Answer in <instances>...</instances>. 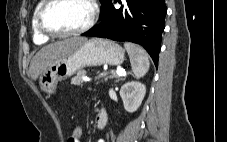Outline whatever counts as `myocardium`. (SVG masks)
Wrapping results in <instances>:
<instances>
[{"label": "myocardium", "instance_id": "f54148a6", "mask_svg": "<svg viewBox=\"0 0 227 142\" xmlns=\"http://www.w3.org/2000/svg\"><path fill=\"white\" fill-rule=\"evenodd\" d=\"M58 1L59 0H44V3L42 4V6L38 11L37 24L40 32L43 33L44 35H47L49 37H68V36L78 35L91 29L97 22V19L99 16L98 3L96 0H86L91 8V16L89 21L84 26L72 31H65V32L52 30L47 26L45 22V15L48 9Z\"/></svg>", "mask_w": 227, "mask_h": 142}]
</instances>
